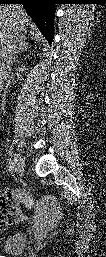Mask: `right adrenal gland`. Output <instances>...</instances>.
I'll list each match as a JSON object with an SVG mask.
<instances>
[{"label":"right adrenal gland","instance_id":"1","mask_svg":"<svg viewBox=\"0 0 106 257\" xmlns=\"http://www.w3.org/2000/svg\"><path fill=\"white\" fill-rule=\"evenodd\" d=\"M26 41V36H22L21 37V40H20V43H19V47L15 53V56H14V62L16 61V58L18 56V54L20 53V51H23L24 49H27L28 48V44L25 42Z\"/></svg>","mask_w":106,"mask_h":257}]
</instances>
